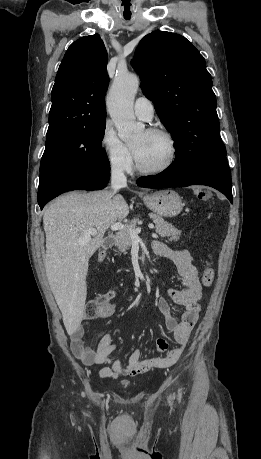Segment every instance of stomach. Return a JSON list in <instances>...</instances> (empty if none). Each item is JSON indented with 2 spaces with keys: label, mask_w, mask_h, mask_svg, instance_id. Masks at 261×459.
Instances as JSON below:
<instances>
[{
  "label": "stomach",
  "mask_w": 261,
  "mask_h": 459,
  "mask_svg": "<svg viewBox=\"0 0 261 459\" xmlns=\"http://www.w3.org/2000/svg\"><path fill=\"white\" fill-rule=\"evenodd\" d=\"M146 206L161 217H175L183 208L181 197L174 190H160L143 197Z\"/></svg>",
  "instance_id": "1"
}]
</instances>
